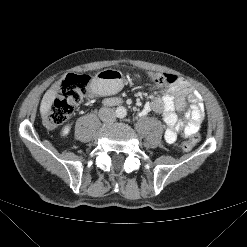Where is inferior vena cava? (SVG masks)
Returning a JSON list of instances; mask_svg holds the SVG:
<instances>
[{
	"instance_id": "1",
	"label": "inferior vena cava",
	"mask_w": 247,
	"mask_h": 247,
	"mask_svg": "<svg viewBox=\"0 0 247 247\" xmlns=\"http://www.w3.org/2000/svg\"><path fill=\"white\" fill-rule=\"evenodd\" d=\"M99 117L105 123H112L116 120L117 115H116L114 109L102 107L99 110Z\"/></svg>"
}]
</instances>
